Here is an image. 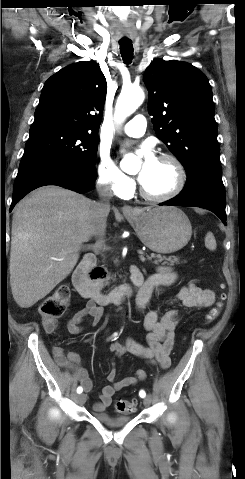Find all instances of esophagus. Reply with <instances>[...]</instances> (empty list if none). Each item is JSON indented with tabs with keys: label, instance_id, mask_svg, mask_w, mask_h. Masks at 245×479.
Wrapping results in <instances>:
<instances>
[{
	"label": "esophagus",
	"instance_id": "1",
	"mask_svg": "<svg viewBox=\"0 0 245 479\" xmlns=\"http://www.w3.org/2000/svg\"><path fill=\"white\" fill-rule=\"evenodd\" d=\"M122 212H123L124 214H132V213H134V210H133V208H132L131 206H129V205H124V206L122 207Z\"/></svg>",
	"mask_w": 245,
	"mask_h": 479
}]
</instances>
